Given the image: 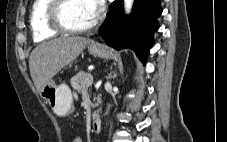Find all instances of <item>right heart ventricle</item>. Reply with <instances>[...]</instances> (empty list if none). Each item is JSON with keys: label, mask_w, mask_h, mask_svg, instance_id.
I'll return each mask as SVG.
<instances>
[{"label": "right heart ventricle", "mask_w": 227, "mask_h": 142, "mask_svg": "<svg viewBox=\"0 0 227 142\" xmlns=\"http://www.w3.org/2000/svg\"><path fill=\"white\" fill-rule=\"evenodd\" d=\"M53 0H34L30 12V28L35 42L56 37L59 32L53 30L47 22V9Z\"/></svg>", "instance_id": "right-heart-ventricle-1"}]
</instances>
